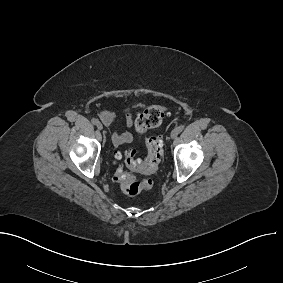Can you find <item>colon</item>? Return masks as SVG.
I'll list each match as a JSON object with an SVG mask.
<instances>
[{"instance_id":"colon-1","label":"colon","mask_w":283,"mask_h":283,"mask_svg":"<svg viewBox=\"0 0 283 283\" xmlns=\"http://www.w3.org/2000/svg\"><path fill=\"white\" fill-rule=\"evenodd\" d=\"M168 114L169 112L166 106L153 105L148 107L135 120L137 133L144 134L147 130L159 126ZM145 144L147 149L145 158L136 157L133 149H126L122 154L118 153L117 158H122L125 167L130 171L148 176L157 171L162 160L163 142L159 137L150 136L145 139ZM114 179L120 185L121 190L130 196L137 195L152 187L151 179L145 178L139 180L121 166L117 168Z\"/></svg>"}]
</instances>
